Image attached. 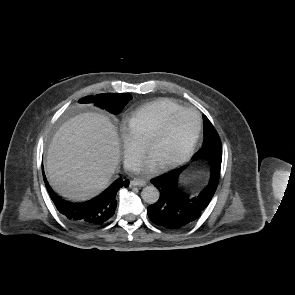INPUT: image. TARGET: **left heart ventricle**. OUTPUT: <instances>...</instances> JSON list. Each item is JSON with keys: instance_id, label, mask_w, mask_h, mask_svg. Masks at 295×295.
Segmentation results:
<instances>
[{"instance_id": "1", "label": "left heart ventricle", "mask_w": 295, "mask_h": 295, "mask_svg": "<svg viewBox=\"0 0 295 295\" xmlns=\"http://www.w3.org/2000/svg\"><path fill=\"white\" fill-rule=\"evenodd\" d=\"M196 127L192 114L179 115L164 136L151 148L150 157L162 165L178 157L189 144Z\"/></svg>"}]
</instances>
